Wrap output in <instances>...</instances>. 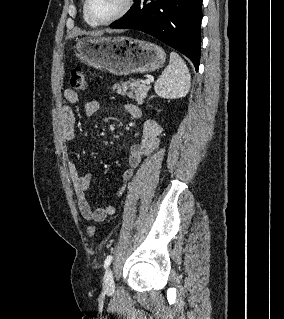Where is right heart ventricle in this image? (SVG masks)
<instances>
[{
  "instance_id": "right-heart-ventricle-1",
  "label": "right heart ventricle",
  "mask_w": 284,
  "mask_h": 319,
  "mask_svg": "<svg viewBox=\"0 0 284 319\" xmlns=\"http://www.w3.org/2000/svg\"><path fill=\"white\" fill-rule=\"evenodd\" d=\"M83 18H84L85 22H86L88 25H90V26H92V27L95 26V25H93L92 23H90V22L86 19V17H85L84 14H83Z\"/></svg>"
}]
</instances>
